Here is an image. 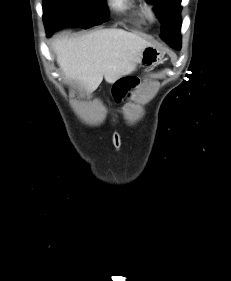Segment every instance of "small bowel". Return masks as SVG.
<instances>
[{
    "instance_id": "1",
    "label": "small bowel",
    "mask_w": 231,
    "mask_h": 281,
    "mask_svg": "<svg viewBox=\"0 0 231 281\" xmlns=\"http://www.w3.org/2000/svg\"><path fill=\"white\" fill-rule=\"evenodd\" d=\"M140 84V78L135 75L118 77L112 84V95L116 100H121L130 95Z\"/></svg>"
}]
</instances>
